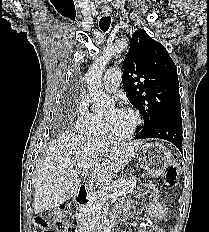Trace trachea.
Instances as JSON below:
<instances>
[{"label": "trachea", "mask_w": 209, "mask_h": 232, "mask_svg": "<svg viewBox=\"0 0 209 232\" xmlns=\"http://www.w3.org/2000/svg\"><path fill=\"white\" fill-rule=\"evenodd\" d=\"M110 24H111V17L110 16L101 17V19L99 21V27L103 32L108 31V29L110 28Z\"/></svg>", "instance_id": "trachea-1"}]
</instances>
